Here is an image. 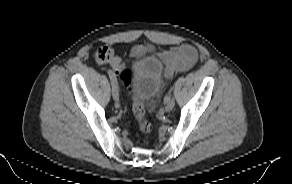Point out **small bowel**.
<instances>
[{
  "label": "small bowel",
  "mask_w": 292,
  "mask_h": 184,
  "mask_svg": "<svg viewBox=\"0 0 292 184\" xmlns=\"http://www.w3.org/2000/svg\"><path fill=\"white\" fill-rule=\"evenodd\" d=\"M152 52H155L165 65L163 72L165 79L172 78L177 72L188 71L195 65L198 58L196 48L190 44L176 45L160 51H155V49L149 45H137L132 48L130 55L133 58H141ZM110 65L116 72L121 71L124 66L122 60L116 56L110 62Z\"/></svg>",
  "instance_id": "small-bowel-1"
}]
</instances>
